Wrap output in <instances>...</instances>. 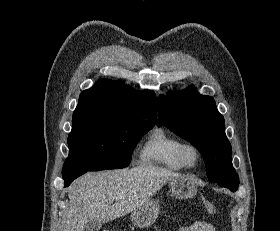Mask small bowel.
<instances>
[{
    "mask_svg": "<svg viewBox=\"0 0 280 231\" xmlns=\"http://www.w3.org/2000/svg\"><path fill=\"white\" fill-rule=\"evenodd\" d=\"M178 231H216V229L206 221H195L187 226L180 227Z\"/></svg>",
    "mask_w": 280,
    "mask_h": 231,
    "instance_id": "1",
    "label": "small bowel"
}]
</instances>
